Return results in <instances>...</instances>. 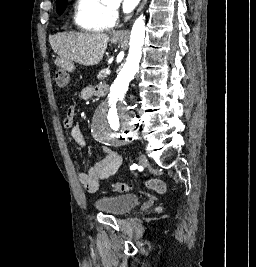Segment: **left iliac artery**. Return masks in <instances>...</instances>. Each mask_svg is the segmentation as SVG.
<instances>
[{
    "label": "left iliac artery",
    "mask_w": 256,
    "mask_h": 267,
    "mask_svg": "<svg viewBox=\"0 0 256 267\" xmlns=\"http://www.w3.org/2000/svg\"><path fill=\"white\" fill-rule=\"evenodd\" d=\"M130 168H131L132 170H134V169L137 168V165H136V164H133Z\"/></svg>",
    "instance_id": "left-iliac-artery-1"
}]
</instances>
